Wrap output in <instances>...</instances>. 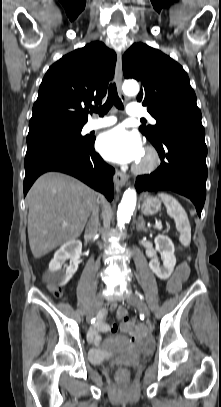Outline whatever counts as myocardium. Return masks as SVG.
I'll return each instance as SVG.
<instances>
[{"mask_svg": "<svg viewBox=\"0 0 221 407\" xmlns=\"http://www.w3.org/2000/svg\"><path fill=\"white\" fill-rule=\"evenodd\" d=\"M160 165V156L153 147H147L142 159L134 166V172L138 174H149L154 172Z\"/></svg>", "mask_w": 221, "mask_h": 407, "instance_id": "f54148a6", "label": "myocardium"}]
</instances>
